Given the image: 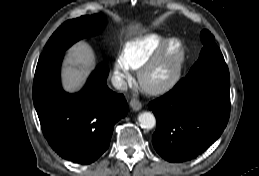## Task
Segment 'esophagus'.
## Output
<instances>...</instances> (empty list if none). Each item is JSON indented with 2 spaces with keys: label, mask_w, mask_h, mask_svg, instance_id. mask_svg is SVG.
I'll use <instances>...</instances> for the list:
<instances>
[{
  "label": "esophagus",
  "mask_w": 259,
  "mask_h": 176,
  "mask_svg": "<svg viewBox=\"0 0 259 176\" xmlns=\"http://www.w3.org/2000/svg\"><path fill=\"white\" fill-rule=\"evenodd\" d=\"M130 106L134 111H139L142 108L141 102L135 98L131 99Z\"/></svg>",
  "instance_id": "34e87169"
}]
</instances>
